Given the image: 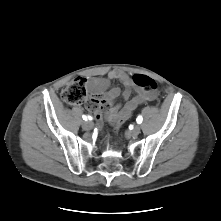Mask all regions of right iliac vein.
<instances>
[{
	"label": "right iliac vein",
	"mask_w": 221,
	"mask_h": 221,
	"mask_svg": "<svg viewBox=\"0 0 221 221\" xmlns=\"http://www.w3.org/2000/svg\"><path fill=\"white\" fill-rule=\"evenodd\" d=\"M82 128L86 131H89L93 128V123L91 121L83 122Z\"/></svg>",
	"instance_id": "1"
}]
</instances>
